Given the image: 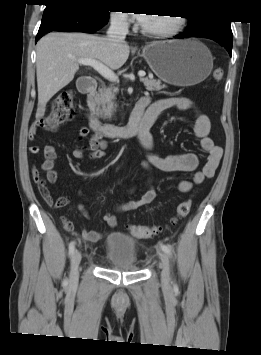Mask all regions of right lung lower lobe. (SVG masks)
Returning a JSON list of instances; mask_svg holds the SVG:
<instances>
[{
	"label": "right lung lower lobe",
	"mask_w": 261,
	"mask_h": 355,
	"mask_svg": "<svg viewBox=\"0 0 261 355\" xmlns=\"http://www.w3.org/2000/svg\"><path fill=\"white\" fill-rule=\"evenodd\" d=\"M46 6L36 42L51 31L93 33L109 19L108 14H98L78 2L49 3Z\"/></svg>",
	"instance_id": "right-lung-lower-lobe-1"
}]
</instances>
